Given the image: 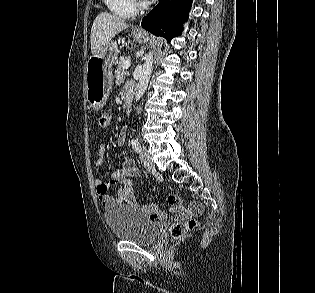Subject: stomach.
I'll use <instances>...</instances> for the list:
<instances>
[{
    "mask_svg": "<svg viewBox=\"0 0 315 293\" xmlns=\"http://www.w3.org/2000/svg\"><path fill=\"white\" fill-rule=\"evenodd\" d=\"M132 37L139 43L148 40L145 32H132ZM118 47L112 42L104 53L92 54L87 63L86 97L94 110H100L106 103L113 86V64L117 60Z\"/></svg>",
    "mask_w": 315,
    "mask_h": 293,
    "instance_id": "stomach-1",
    "label": "stomach"
}]
</instances>
